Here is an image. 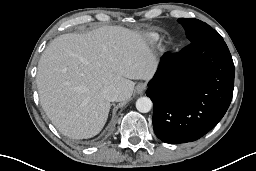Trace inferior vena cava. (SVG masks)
Returning a JSON list of instances; mask_svg holds the SVG:
<instances>
[{"instance_id":"1","label":"inferior vena cava","mask_w":256,"mask_h":171,"mask_svg":"<svg viewBox=\"0 0 256 171\" xmlns=\"http://www.w3.org/2000/svg\"><path fill=\"white\" fill-rule=\"evenodd\" d=\"M102 95L107 101L114 102L118 100L119 93L115 87L108 86L103 89Z\"/></svg>"}]
</instances>
